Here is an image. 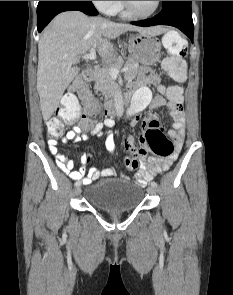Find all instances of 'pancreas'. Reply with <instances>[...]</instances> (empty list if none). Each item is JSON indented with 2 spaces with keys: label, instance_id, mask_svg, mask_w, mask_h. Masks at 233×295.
Wrapping results in <instances>:
<instances>
[{
  "label": "pancreas",
  "instance_id": "obj_1",
  "mask_svg": "<svg viewBox=\"0 0 233 295\" xmlns=\"http://www.w3.org/2000/svg\"><path fill=\"white\" fill-rule=\"evenodd\" d=\"M124 63L123 59L114 60L112 63L106 64L99 68L95 74V90L100 91L106 98H108L117 88V83L114 81L110 74L112 67L121 68ZM125 66H128V70L125 72V76L128 78H134L137 75L139 64L136 60L129 57L126 59Z\"/></svg>",
  "mask_w": 233,
  "mask_h": 295
}]
</instances>
